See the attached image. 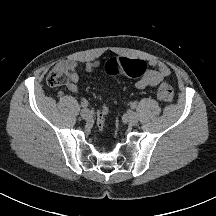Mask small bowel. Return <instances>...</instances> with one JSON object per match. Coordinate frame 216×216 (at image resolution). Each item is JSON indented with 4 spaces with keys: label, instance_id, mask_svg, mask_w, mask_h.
Returning <instances> with one entry per match:
<instances>
[{
    "label": "small bowel",
    "instance_id": "c3829d8e",
    "mask_svg": "<svg viewBox=\"0 0 216 216\" xmlns=\"http://www.w3.org/2000/svg\"><path fill=\"white\" fill-rule=\"evenodd\" d=\"M68 71L67 89L77 94L79 92L78 81L80 79V69L78 63L73 60L63 62ZM152 69H148L136 81L135 86L138 89L153 88L164 82L170 75L171 70L166 63L158 59H149L145 62ZM100 67L99 61H89L85 64V70L89 73L95 72Z\"/></svg>",
    "mask_w": 216,
    "mask_h": 216
}]
</instances>
